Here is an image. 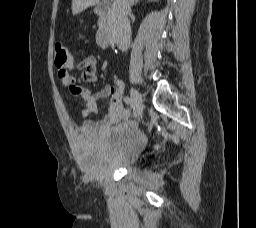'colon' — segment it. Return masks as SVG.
<instances>
[{"instance_id": "obj_1", "label": "colon", "mask_w": 256, "mask_h": 228, "mask_svg": "<svg viewBox=\"0 0 256 228\" xmlns=\"http://www.w3.org/2000/svg\"><path fill=\"white\" fill-rule=\"evenodd\" d=\"M67 48L62 43H57L55 46V64L56 66L64 65L70 58Z\"/></svg>"}]
</instances>
